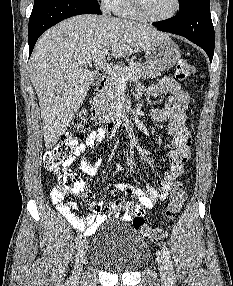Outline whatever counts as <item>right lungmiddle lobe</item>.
<instances>
[{"label": "right lung middle lobe", "mask_w": 233, "mask_h": 286, "mask_svg": "<svg viewBox=\"0 0 233 286\" xmlns=\"http://www.w3.org/2000/svg\"><path fill=\"white\" fill-rule=\"evenodd\" d=\"M45 1H46V0H34V7H33V8L39 7V6L42 5ZM83 1H85V2H87V3H89V4H92V5H94V6L98 7V8H100L99 5H98L97 0H83Z\"/></svg>", "instance_id": "obj_1"}]
</instances>
